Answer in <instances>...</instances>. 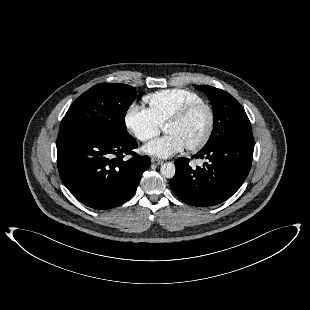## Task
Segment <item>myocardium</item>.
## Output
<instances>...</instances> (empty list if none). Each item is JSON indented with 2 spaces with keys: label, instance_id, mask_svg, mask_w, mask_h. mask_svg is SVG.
I'll return each mask as SVG.
<instances>
[{
  "label": "myocardium",
  "instance_id": "f54148a6",
  "mask_svg": "<svg viewBox=\"0 0 310 310\" xmlns=\"http://www.w3.org/2000/svg\"><path fill=\"white\" fill-rule=\"evenodd\" d=\"M202 108L205 109L208 113V126L203 137L198 142H196L193 145L185 147V149L190 152H195L202 149L210 140L215 127V112L213 107L209 103L204 101L189 104L184 108H182L170 119H168L164 124L165 128L167 125L181 123L184 120H186L189 116H191L194 112Z\"/></svg>",
  "mask_w": 310,
  "mask_h": 310
}]
</instances>
